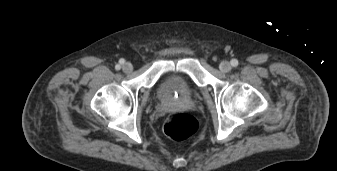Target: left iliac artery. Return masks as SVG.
Segmentation results:
<instances>
[{
    "label": "left iliac artery",
    "mask_w": 337,
    "mask_h": 171,
    "mask_svg": "<svg viewBox=\"0 0 337 171\" xmlns=\"http://www.w3.org/2000/svg\"><path fill=\"white\" fill-rule=\"evenodd\" d=\"M231 65H232L233 67L238 66V60H237V59H232V60H231Z\"/></svg>",
    "instance_id": "1"
}]
</instances>
